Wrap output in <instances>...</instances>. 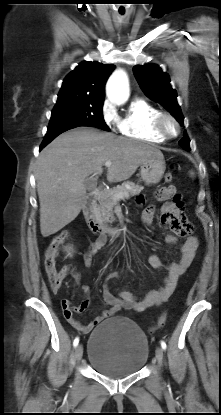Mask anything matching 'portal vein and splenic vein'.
Masks as SVG:
<instances>
[{
	"label": "portal vein and splenic vein",
	"instance_id": "1",
	"mask_svg": "<svg viewBox=\"0 0 221 415\" xmlns=\"http://www.w3.org/2000/svg\"><path fill=\"white\" fill-rule=\"evenodd\" d=\"M111 164H112L111 161H106L105 162V166H107V167H109ZM115 196L117 198H126L127 197V193L120 192V193H116Z\"/></svg>",
	"mask_w": 221,
	"mask_h": 415
}]
</instances>
